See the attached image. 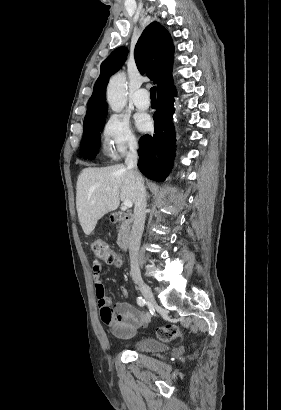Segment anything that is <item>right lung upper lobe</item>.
Returning a JSON list of instances; mask_svg holds the SVG:
<instances>
[{
  "instance_id": "right-lung-upper-lobe-1",
  "label": "right lung upper lobe",
  "mask_w": 281,
  "mask_h": 410,
  "mask_svg": "<svg viewBox=\"0 0 281 410\" xmlns=\"http://www.w3.org/2000/svg\"><path fill=\"white\" fill-rule=\"evenodd\" d=\"M128 50L120 47L105 59L100 67L93 94L87 105L84 123L107 114L106 85L112 74L117 72L126 60ZM174 46L168 31L158 22L150 23L138 39L134 56L138 70L146 73L158 91L173 85L171 71Z\"/></svg>"
}]
</instances>
